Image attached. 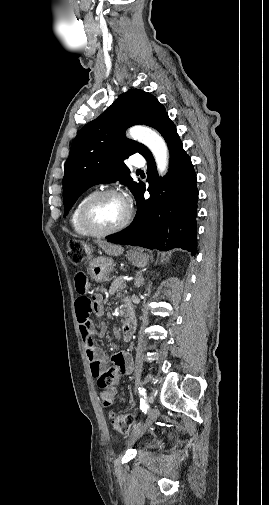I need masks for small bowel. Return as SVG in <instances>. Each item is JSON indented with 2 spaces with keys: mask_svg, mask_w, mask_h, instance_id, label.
Wrapping results in <instances>:
<instances>
[{
  "mask_svg": "<svg viewBox=\"0 0 269 505\" xmlns=\"http://www.w3.org/2000/svg\"><path fill=\"white\" fill-rule=\"evenodd\" d=\"M77 269V268H76ZM74 309L77 314L79 328L86 349V354L90 362L91 372L97 377L103 372L107 364V356L94 343V334L104 335L107 331V325L104 322L94 326L91 319L92 315H100L102 312V302L96 295H90L87 283V275L83 269H78L74 275ZM112 368L116 370L119 377L129 375L133 368L132 356L121 351L111 357Z\"/></svg>",
  "mask_w": 269,
  "mask_h": 505,
  "instance_id": "1",
  "label": "small bowel"
}]
</instances>
